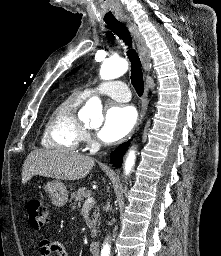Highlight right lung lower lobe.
I'll return each mask as SVG.
<instances>
[{
  "mask_svg": "<svg viewBox=\"0 0 221 256\" xmlns=\"http://www.w3.org/2000/svg\"><path fill=\"white\" fill-rule=\"evenodd\" d=\"M129 142L123 143L118 146V148L111 153L110 155V162L113 164L114 167H121L122 165V157L125 154L126 150L128 149Z\"/></svg>",
  "mask_w": 221,
  "mask_h": 256,
  "instance_id": "98d812e1",
  "label": "right lung lower lobe"
}]
</instances>
